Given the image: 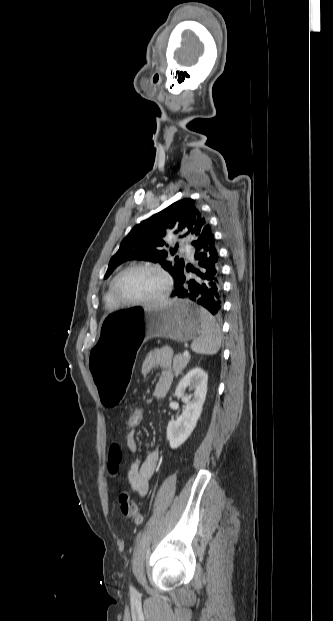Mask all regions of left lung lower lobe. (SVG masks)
Segmentation results:
<instances>
[{"label": "left lung lower lobe", "mask_w": 333, "mask_h": 621, "mask_svg": "<svg viewBox=\"0 0 333 621\" xmlns=\"http://www.w3.org/2000/svg\"><path fill=\"white\" fill-rule=\"evenodd\" d=\"M192 245L194 246L192 257L197 261V267L185 265L184 269L193 273L194 276H185L184 269H181L174 281L176 289L172 292V297L195 302L213 315H220L222 311V270L220 256L209 225L203 228Z\"/></svg>", "instance_id": "obj_1"}]
</instances>
